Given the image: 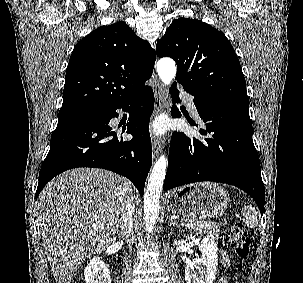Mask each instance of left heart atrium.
<instances>
[{
    "mask_svg": "<svg viewBox=\"0 0 303 283\" xmlns=\"http://www.w3.org/2000/svg\"><path fill=\"white\" fill-rule=\"evenodd\" d=\"M153 129H154V131H156V132H161L162 129H163L162 123L158 122V123L154 124Z\"/></svg>",
    "mask_w": 303,
    "mask_h": 283,
    "instance_id": "obj_1",
    "label": "left heart atrium"
}]
</instances>
